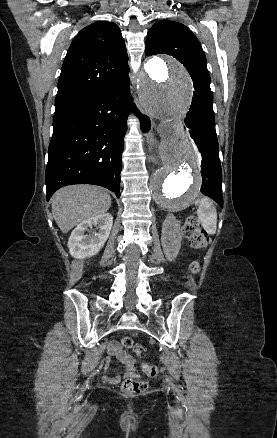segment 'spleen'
<instances>
[{"instance_id": "spleen-1", "label": "spleen", "mask_w": 277, "mask_h": 438, "mask_svg": "<svg viewBox=\"0 0 277 438\" xmlns=\"http://www.w3.org/2000/svg\"><path fill=\"white\" fill-rule=\"evenodd\" d=\"M196 214L207 234H215L217 228V212L212 200L202 198Z\"/></svg>"}]
</instances>
